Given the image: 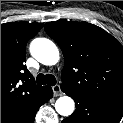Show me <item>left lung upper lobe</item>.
Listing matches in <instances>:
<instances>
[{"label":"left lung upper lobe","mask_w":123,"mask_h":123,"mask_svg":"<svg viewBox=\"0 0 123 123\" xmlns=\"http://www.w3.org/2000/svg\"><path fill=\"white\" fill-rule=\"evenodd\" d=\"M46 33L61 47L62 87L71 93L123 108V47L87 22H48Z\"/></svg>","instance_id":"obj_1"}]
</instances>
